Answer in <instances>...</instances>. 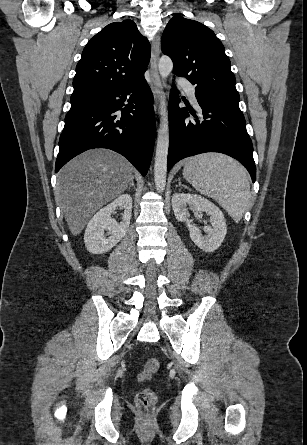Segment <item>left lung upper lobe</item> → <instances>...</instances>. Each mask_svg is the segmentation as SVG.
Listing matches in <instances>:
<instances>
[{"instance_id": "1", "label": "left lung upper lobe", "mask_w": 307, "mask_h": 445, "mask_svg": "<svg viewBox=\"0 0 307 445\" xmlns=\"http://www.w3.org/2000/svg\"><path fill=\"white\" fill-rule=\"evenodd\" d=\"M161 47L173 61L174 74L186 77L196 86V98L239 107L230 60L211 29L174 16L163 32Z\"/></svg>"}]
</instances>
